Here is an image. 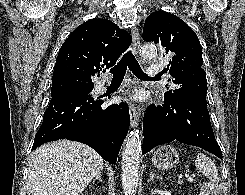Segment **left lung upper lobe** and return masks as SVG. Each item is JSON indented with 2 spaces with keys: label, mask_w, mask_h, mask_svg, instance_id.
I'll return each instance as SVG.
<instances>
[{
  "label": "left lung upper lobe",
  "mask_w": 245,
  "mask_h": 195,
  "mask_svg": "<svg viewBox=\"0 0 245 195\" xmlns=\"http://www.w3.org/2000/svg\"><path fill=\"white\" fill-rule=\"evenodd\" d=\"M143 39L161 44L166 54H174L166 71L178 88L167 91L165 99L195 98L206 102L207 82L205 71L201 68L202 48L195 32L179 17L156 11L145 21Z\"/></svg>",
  "instance_id": "obj_1"
}]
</instances>
